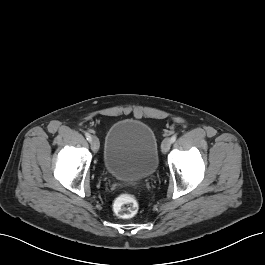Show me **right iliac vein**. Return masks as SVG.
<instances>
[{
  "instance_id": "1",
  "label": "right iliac vein",
  "mask_w": 265,
  "mask_h": 265,
  "mask_svg": "<svg viewBox=\"0 0 265 265\" xmlns=\"http://www.w3.org/2000/svg\"><path fill=\"white\" fill-rule=\"evenodd\" d=\"M91 149L93 152H97L99 149V140L96 136H93L91 139Z\"/></svg>"
}]
</instances>
